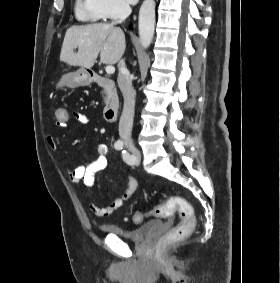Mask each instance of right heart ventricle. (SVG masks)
Listing matches in <instances>:
<instances>
[{
    "label": "right heart ventricle",
    "mask_w": 280,
    "mask_h": 283,
    "mask_svg": "<svg viewBox=\"0 0 280 283\" xmlns=\"http://www.w3.org/2000/svg\"><path fill=\"white\" fill-rule=\"evenodd\" d=\"M75 15L82 21L98 19L93 15L89 8V0H76Z\"/></svg>",
    "instance_id": "right-heart-ventricle-1"
}]
</instances>
